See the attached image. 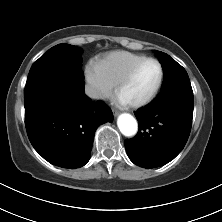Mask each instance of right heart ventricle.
Segmentation results:
<instances>
[{"label":"right heart ventricle","instance_id":"1","mask_svg":"<svg viewBox=\"0 0 222 222\" xmlns=\"http://www.w3.org/2000/svg\"><path fill=\"white\" fill-rule=\"evenodd\" d=\"M146 56L128 51H114L98 63L102 76L113 86L122 79L129 69Z\"/></svg>","mask_w":222,"mask_h":222}]
</instances>
